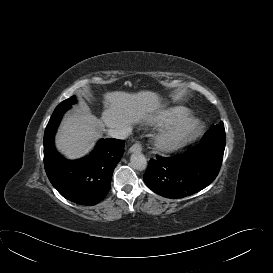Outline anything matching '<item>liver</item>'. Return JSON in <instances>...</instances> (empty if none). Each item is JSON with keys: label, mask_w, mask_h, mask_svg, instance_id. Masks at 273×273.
I'll return each mask as SVG.
<instances>
[{"label": "liver", "mask_w": 273, "mask_h": 273, "mask_svg": "<svg viewBox=\"0 0 273 273\" xmlns=\"http://www.w3.org/2000/svg\"><path fill=\"white\" fill-rule=\"evenodd\" d=\"M104 104L101 119L88 111L66 116L56 135L57 149L69 158L80 157L93 148L105 127L130 130L132 124L151 120L161 106L159 96L151 91L107 92Z\"/></svg>", "instance_id": "1"}]
</instances>
